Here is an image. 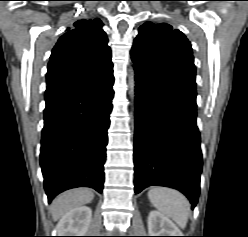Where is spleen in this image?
Wrapping results in <instances>:
<instances>
[{
  "instance_id": "1",
  "label": "spleen",
  "mask_w": 248,
  "mask_h": 237,
  "mask_svg": "<svg viewBox=\"0 0 248 237\" xmlns=\"http://www.w3.org/2000/svg\"><path fill=\"white\" fill-rule=\"evenodd\" d=\"M148 198L161 213L170 217L179 227L185 228L190 204L183 194L170 188L154 187L149 190Z\"/></svg>"
}]
</instances>
